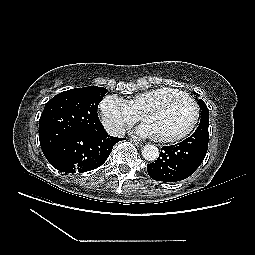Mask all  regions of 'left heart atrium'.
<instances>
[{
  "label": "left heart atrium",
  "instance_id": "1",
  "mask_svg": "<svg viewBox=\"0 0 255 255\" xmlns=\"http://www.w3.org/2000/svg\"><path fill=\"white\" fill-rule=\"evenodd\" d=\"M136 133L143 137H149V138L156 137L153 128L145 122L141 124L139 127H137Z\"/></svg>",
  "mask_w": 255,
  "mask_h": 255
}]
</instances>
